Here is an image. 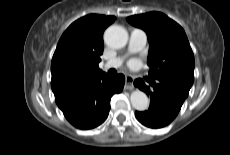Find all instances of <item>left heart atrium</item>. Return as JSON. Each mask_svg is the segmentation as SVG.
<instances>
[{
    "instance_id": "obj_1",
    "label": "left heart atrium",
    "mask_w": 230,
    "mask_h": 155,
    "mask_svg": "<svg viewBox=\"0 0 230 155\" xmlns=\"http://www.w3.org/2000/svg\"><path fill=\"white\" fill-rule=\"evenodd\" d=\"M131 64L134 65V64H135V61H132Z\"/></svg>"
}]
</instances>
